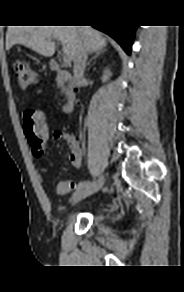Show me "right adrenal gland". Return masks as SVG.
<instances>
[{
  "label": "right adrenal gland",
  "instance_id": "2a0ac1e0",
  "mask_svg": "<svg viewBox=\"0 0 184 292\" xmlns=\"http://www.w3.org/2000/svg\"><path fill=\"white\" fill-rule=\"evenodd\" d=\"M101 54V52H97L90 60H89V62L87 63V65L89 66L90 65V63L93 61V60H95L99 55Z\"/></svg>",
  "mask_w": 184,
  "mask_h": 292
}]
</instances>
